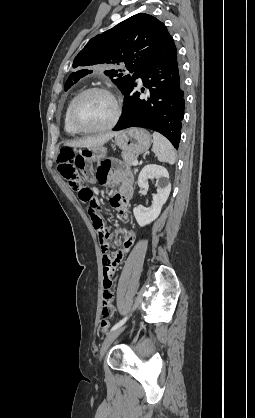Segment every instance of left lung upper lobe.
<instances>
[{
    "instance_id": "left-lung-upper-lobe-1",
    "label": "left lung upper lobe",
    "mask_w": 255,
    "mask_h": 418,
    "mask_svg": "<svg viewBox=\"0 0 255 418\" xmlns=\"http://www.w3.org/2000/svg\"><path fill=\"white\" fill-rule=\"evenodd\" d=\"M171 39L172 36L161 21L148 14H136L86 44L73 61V68L83 69L69 76L65 91L80 78L93 72L86 67L124 64L130 72L127 75L122 73V69L104 71L124 93L138 67L161 51Z\"/></svg>"
}]
</instances>
